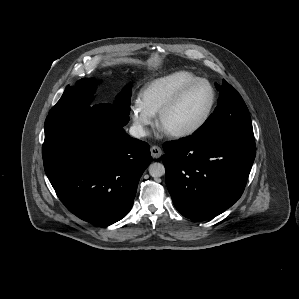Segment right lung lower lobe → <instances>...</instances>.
<instances>
[{
    "instance_id": "right-lung-lower-lobe-1",
    "label": "right lung lower lobe",
    "mask_w": 299,
    "mask_h": 299,
    "mask_svg": "<svg viewBox=\"0 0 299 299\" xmlns=\"http://www.w3.org/2000/svg\"><path fill=\"white\" fill-rule=\"evenodd\" d=\"M128 121L129 113L110 103L45 120L46 175L66 208L87 222L125 217L151 162L149 145L124 131Z\"/></svg>"
}]
</instances>
